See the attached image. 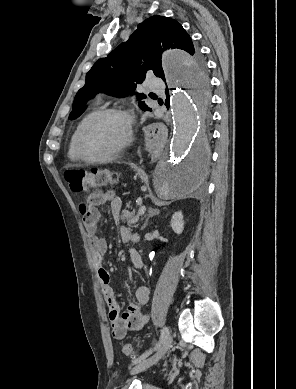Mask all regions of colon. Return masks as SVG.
I'll use <instances>...</instances> for the list:
<instances>
[{"mask_svg": "<svg viewBox=\"0 0 296 389\" xmlns=\"http://www.w3.org/2000/svg\"><path fill=\"white\" fill-rule=\"evenodd\" d=\"M64 177L70 189L80 193H88L92 188L117 182V175L106 169H69L65 172ZM121 351L126 356H135V350L130 343H124L121 346Z\"/></svg>", "mask_w": 296, "mask_h": 389, "instance_id": "5ec220e1", "label": "colon"}]
</instances>
